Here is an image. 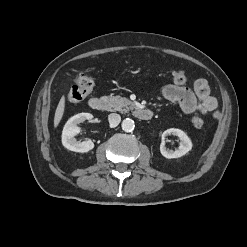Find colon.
I'll return each mask as SVG.
<instances>
[{
    "mask_svg": "<svg viewBox=\"0 0 247 247\" xmlns=\"http://www.w3.org/2000/svg\"><path fill=\"white\" fill-rule=\"evenodd\" d=\"M172 78L173 82L180 86L184 85L187 80L182 71H174ZM93 85V80L90 77L83 74L77 75L74 84L68 93V100L72 103L81 102L91 93ZM191 122L193 126L198 129L202 128L204 125V121L198 116L192 117Z\"/></svg>",
    "mask_w": 247,
    "mask_h": 247,
    "instance_id": "obj_1",
    "label": "colon"
}]
</instances>
